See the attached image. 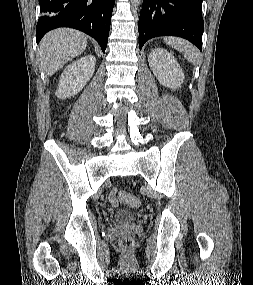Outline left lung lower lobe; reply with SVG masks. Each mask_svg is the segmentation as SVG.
<instances>
[{"instance_id":"1","label":"left lung lower lobe","mask_w":253,"mask_h":285,"mask_svg":"<svg viewBox=\"0 0 253 285\" xmlns=\"http://www.w3.org/2000/svg\"><path fill=\"white\" fill-rule=\"evenodd\" d=\"M202 0H144L140 12L139 48L156 36L185 38L202 50Z\"/></svg>"}]
</instances>
